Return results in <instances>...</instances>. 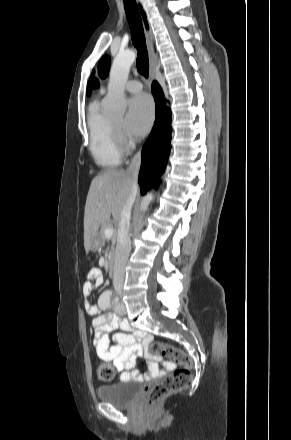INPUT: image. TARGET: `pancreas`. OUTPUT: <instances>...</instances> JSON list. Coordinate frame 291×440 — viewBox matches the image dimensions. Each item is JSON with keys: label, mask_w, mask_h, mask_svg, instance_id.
Here are the masks:
<instances>
[{"label": "pancreas", "mask_w": 291, "mask_h": 440, "mask_svg": "<svg viewBox=\"0 0 291 440\" xmlns=\"http://www.w3.org/2000/svg\"><path fill=\"white\" fill-rule=\"evenodd\" d=\"M111 226L112 225H111V222H110L109 219H107L106 221L101 223L100 232H99V238H100L101 242L105 241V237H106L105 236V230H106V228L111 227ZM115 243H116V235H114L113 238H112V248H114Z\"/></svg>", "instance_id": "1"}]
</instances>
